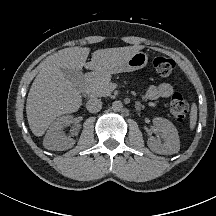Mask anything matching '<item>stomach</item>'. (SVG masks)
I'll use <instances>...</instances> for the list:
<instances>
[{
    "mask_svg": "<svg viewBox=\"0 0 216 216\" xmlns=\"http://www.w3.org/2000/svg\"><path fill=\"white\" fill-rule=\"evenodd\" d=\"M148 63V56L144 52H136L128 59L124 60L120 64L106 68V69H100L95 70L93 72V76H103V75H111L115 73H121V72H132L138 69H142L145 67Z\"/></svg>",
    "mask_w": 216,
    "mask_h": 216,
    "instance_id": "obj_1",
    "label": "stomach"
}]
</instances>
